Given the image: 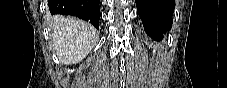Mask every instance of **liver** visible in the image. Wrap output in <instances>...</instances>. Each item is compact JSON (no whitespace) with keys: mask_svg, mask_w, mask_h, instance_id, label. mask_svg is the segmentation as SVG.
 <instances>
[{"mask_svg":"<svg viewBox=\"0 0 227 88\" xmlns=\"http://www.w3.org/2000/svg\"><path fill=\"white\" fill-rule=\"evenodd\" d=\"M49 26L55 53L66 65L80 62L97 42L95 28L79 19L56 15Z\"/></svg>","mask_w":227,"mask_h":88,"instance_id":"obj_1","label":"liver"}]
</instances>
